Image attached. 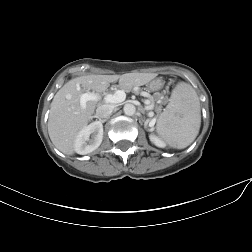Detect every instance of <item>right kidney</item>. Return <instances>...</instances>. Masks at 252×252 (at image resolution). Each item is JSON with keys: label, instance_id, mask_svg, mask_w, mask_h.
Here are the masks:
<instances>
[{"label": "right kidney", "instance_id": "1", "mask_svg": "<svg viewBox=\"0 0 252 252\" xmlns=\"http://www.w3.org/2000/svg\"><path fill=\"white\" fill-rule=\"evenodd\" d=\"M103 139V125L100 121H95L85 126L78 133L75 142V152L86 155L96 150Z\"/></svg>", "mask_w": 252, "mask_h": 252}]
</instances>
